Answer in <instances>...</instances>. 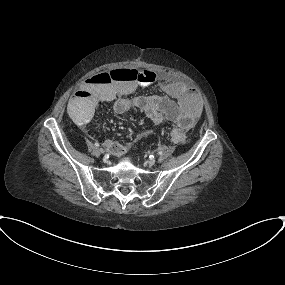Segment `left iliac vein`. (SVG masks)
<instances>
[{"label": "left iliac vein", "mask_w": 285, "mask_h": 285, "mask_svg": "<svg viewBox=\"0 0 285 285\" xmlns=\"http://www.w3.org/2000/svg\"><path fill=\"white\" fill-rule=\"evenodd\" d=\"M155 163H156L155 159H149L148 160V164L151 166L154 165Z\"/></svg>", "instance_id": "4c4485c4"}]
</instances>
